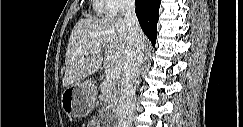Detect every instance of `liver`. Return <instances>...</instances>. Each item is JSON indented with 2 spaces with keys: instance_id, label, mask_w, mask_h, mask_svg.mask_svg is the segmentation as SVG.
<instances>
[{
  "instance_id": "liver-1",
  "label": "liver",
  "mask_w": 243,
  "mask_h": 127,
  "mask_svg": "<svg viewBox=\"0 0 243 127\" xmlns=\"http://www.w3.org/2000/svg\"><path fill=\"white\" fill-rule=\"evenodd\" d=\"M130 32L122 17L85 18L74 26L66 49L64 87L91 76L103 65L124 69ZM141 41L147 42L141 32ZM98 50V54L84 51Z\"/></svg>"
}]
</instances>
